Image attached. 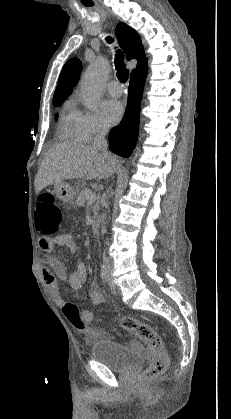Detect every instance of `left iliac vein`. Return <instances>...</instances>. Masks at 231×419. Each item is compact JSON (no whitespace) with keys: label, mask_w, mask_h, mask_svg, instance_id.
Wrapping results in <instances>:
<instances>
[{"label":"left iliac vein","mask_w":231,"mask_h":419,"mask_svg":"<svg viewBox=\"0 0 231 419\" xmlns=\"http://www.w3.org/2000/svg\"><path fill=\"white\" fill-rule=\"evenodd\" d=\"M106 272H107V275H108V278H109V287H110L111 291L114 294H118V290H117L116 285L114 283L113 277L111 276L110 269H107Z\"/></svg>","instance_id":"4c4485c4"}]
</instances>
